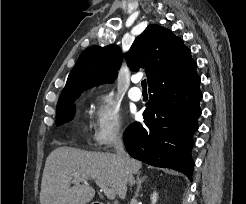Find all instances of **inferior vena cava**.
Returning <instances> with one entry per match:
<instances>
[{
    "mask_svg": "<svg viewBox=\"0 0 246 204\" xmlns=\"http://www.w3.org/2000/svg\"><path fill=\"white\" fill-rule=\"evenodd\" d=\"M113 144H114V148H115L118 160L120 161V163L126 166L128 155L124 149V143H123L122 136L121 135L117 136ZM128 182L130 186L134 184V177L132 173H128ZM131 204H135L134 198L131 200Z\"/></svg>",
    "mask_w": 246,
    "mask_h": 204,
    "instance_id": "inferior-vena-cava-1",
    "label": "inferior vena cava"
}]
</instances>
